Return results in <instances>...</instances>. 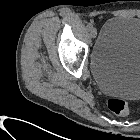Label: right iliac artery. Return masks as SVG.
I'll list each match as a JSON object with an SVG mask.
<instances>
[{"label": "right iliac artery", "mask_w": 140, "mask_h": 140, "mask_svg": "<svg viewBox=\"0 0 140 140\" xmlns=\"http://www.w3.org/2000/svg\"><path fill=\"white\" fill-rule=\"evenodd\" d=\"M87 28H88L89 30H91V29L93 28V25H92L91 23H89V24L87 25Z\"/></svg>", "instance_id": "obj_1"}]
</instances>
